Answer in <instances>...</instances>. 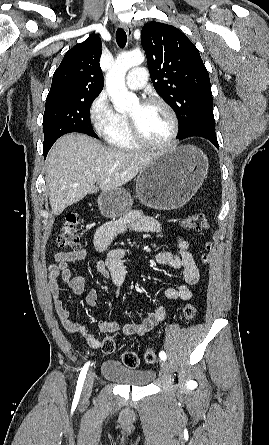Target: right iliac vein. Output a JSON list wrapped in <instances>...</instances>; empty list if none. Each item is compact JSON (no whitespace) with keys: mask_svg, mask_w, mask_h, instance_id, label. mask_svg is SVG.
<instances>
[{"mask_svg":"<svg viewBox=\"0 0 269 445\" xmlns=\"http://www.w3.org/2000/svg\"><path fill=\"white\" fill-rule=\"evenodd\" d=\"M92 388H93V375L91 374L85 383V386L83 389V396L84 397L90 396Z\"/></svg>","mask_w":269,"mask_h":445,"instance_id":"obj_1","label":"right iliac vein"}]
</instances>
